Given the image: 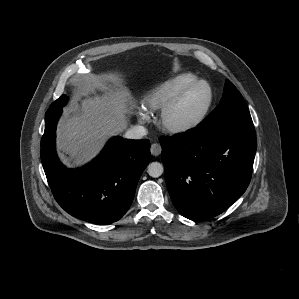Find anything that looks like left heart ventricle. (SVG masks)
I'll return each instance as SVG.
<instances>
[{
	"label": "left heart ventricle",
	"instance_id": "1",
	"mask_svg": "<svg viewBox=\"0 0 299 299\" xmlns=\"http://www.w3.org/2000/svg\"><path fill=\"white\" fill-rule=\"evenodd\" d=\"M207 100L208 90L205 86L192 89L171 112L169 120L177 124L193 120L203 110Z\"/></svg>",
	"mask_w": 299,
	"mask_h": 299
}]
</instances>
